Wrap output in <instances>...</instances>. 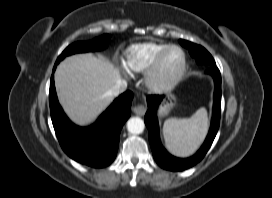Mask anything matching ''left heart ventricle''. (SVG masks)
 <instances>
[{
    "mask_svg": "<svg viewBox=\"0 0 272 198\" xmlns=\"http://www.w3.org/2000/svg\"><path fill=\"white\" fill-rule=\"evenodd\" d=\"M183 63L182 53L177 50H171L165 57L161 69V75L164 78H170L178 73Z\"/></svg>",
    "mask_w": 272,
    "mask_h": 198,
    "instance_id": "left-heart-ventricle-1",
    "label": "left heart ventricle"
}]
</instances>
